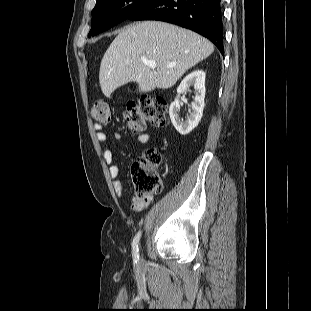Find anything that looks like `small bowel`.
<instances>
[{"mask_svg": "<svg viewBox=\"0 0 311 311\" xmlns=\"http://www.w3.org/2000/svg\"><path fill=\"white\" fill-rule=\"evenodd\" d=\"M93 128L95 131L96 139L100 143H105L107 140V136L105 132L103 131L102 126L98 123H95ZM114 139L117 142L122 141L121 133L116 132L114 134ZM137 141L140 144H146L149 141V135L145 133L139 134L137 136ZM102 156H103V159L106 165L108 166V172L113 182V186H114L116 194L119 197L124 196L126 194V190L123 187L121 180L119 178V173H120L119 166L114 162L112 150L109 147L104 146L102 148ZM152 200H153V197L151 195H147V196L133 195L131 196V209L135 212H141L150 205Z\"/></svg>", "mask_w": 311, "mask_h": 311, "instance_id": "obj_1", "label": "small bowel"}]
</instances>
